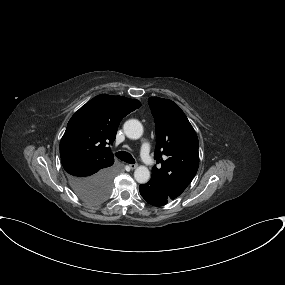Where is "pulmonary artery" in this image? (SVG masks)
<instances>
[{
    "mask_svg": "<svg viewBox=\"0 0 285 285\" xmlns=\"http://www.w3.org/2000/svg\"><path fill=\"white\" fill-rule=\"evenodd\" d=\"M140 156L147 166H152L154 164V159L150 154V145L148 143L142 144L140 148Z\"/></svg>",
    "mask_w": 285,
    "mask_h": 285,
    "instance_id": "1",
    "label": "pulmonary artery"
}]
</instances>
